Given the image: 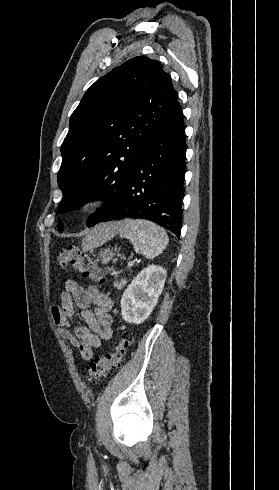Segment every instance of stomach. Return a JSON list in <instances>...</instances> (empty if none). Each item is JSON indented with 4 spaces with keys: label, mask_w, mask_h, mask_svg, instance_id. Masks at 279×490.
<instances>
[{
    "label": "stomach",
    "mask_w": 279,
    "mask_h": 490,
    "mask_svg": "<svg viewBox=\"0 0 279 490\" xmlns=\"http://www.w3.org/2000/svg\"><path fill=\"white\" fill-rule=\"evenodd\" d=\"M114 254L111 248H106V250H101L97 262H102V264H108L112 260Z\"/></svg>",
    "instance_id": "1"
}]
</instances>
